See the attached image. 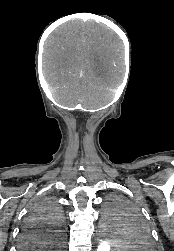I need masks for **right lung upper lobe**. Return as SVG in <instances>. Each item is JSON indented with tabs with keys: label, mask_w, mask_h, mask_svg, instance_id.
Listing matches in <instances>:
<instances>
[{
	"label": "right lung upper lobe",
	"mask_w": 174,
	"mask_h": 251,
	"mask_svg": "<svg viewBox=\"0 0 174 251\" xmlns=\"http://www.w3.org/2000/svg\"><path fill=\"white\" fill-rule=\"evenodd\" d=\"M46 247H48V242L40 240L38 233L34 234L31 240L21 244L23 250H44Z\"/></svg>",
	"instance_id": "right-lung-upper-lobe-1"
}]
</instances>
